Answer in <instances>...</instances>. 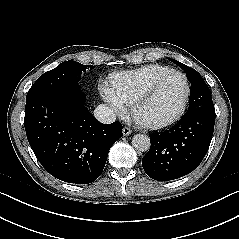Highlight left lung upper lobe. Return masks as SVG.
<instances>
[{
  "label": "left lung upper lobe",
  "mask_w": 239,
  "mask_h": 239,
  "mask_svg": "<svg viewBox=\"0 0 239 239\" xmlns=\"http://www.w3.org/2000/svg\"><path fill=\"white\" fill-rule=\"evenodd\" d=\"M170 60L186 72V76L191 83L188 111L201 106H213L210 90L201 75L195 69L181 62L174 59Z\"/></svg>",
  "instance_id": "left-lung-upper-lobe-1"
}]
</instances>
